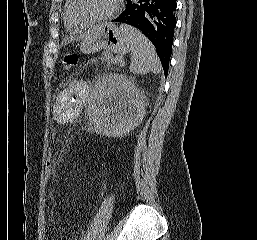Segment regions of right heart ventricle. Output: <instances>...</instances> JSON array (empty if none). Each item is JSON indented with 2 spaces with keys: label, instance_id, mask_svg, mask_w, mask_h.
<instances>
[{
  "label": "right heart ventricle",
  "instance_id": "e07e8e85",
  "mask_svg": "<svg viewBox=\"0 0 257 240\" xmlns=\"http://www.w3.org/2000/svg\"><path fill=\"white\" fill-rule=\"evenodd\" d=\"M63 18H64V26L65 29L70 33H78L84 30L87 25L79 23L75 20L71 12V0H66L64 11H63Z\"/></svg>",
  "mask_w": 257,
  "mask_h": 240
}]
</instances>
